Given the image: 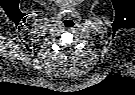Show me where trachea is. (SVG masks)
<instances>
[{
  "mask_svg": "<svg viewBox=\"0 0 135 95\" xmlns=\"http://www.w3.org/2000/svg\"><path fill=\"white\" fill-rule=\"evenodd\" d=\"M64 24L66 27H73L74 22L72 20H65Z\"/></svg>",
  "mask_w": 135,
  "mask_h": 95,
  "instance_id": "3493384b",
  "label": "trachea"
}]
</instances>
